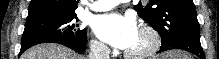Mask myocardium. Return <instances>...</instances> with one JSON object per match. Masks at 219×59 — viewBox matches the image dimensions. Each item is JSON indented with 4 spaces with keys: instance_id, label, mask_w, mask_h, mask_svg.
Listing matches in <instances>:
<instances>
[{
    "instance_id": "myocardium-1",
    "label": "myocardium",
    "mask_w": 219,
    "mask_h": 59,
    "mask_svg": "<svg viewBox=\"0 0 219 59\" xmlns=\"http://www.w3.org/2000/svg\"><path fill=\"white\" fill-rule=\"evenodd\" d=\"M139 32L148 37V45L141 51L125 50L124 55L130 59H144L153 55L160 47L161 39L159 33L151 26H142Z\"/></svg>"
}]
</instances>
